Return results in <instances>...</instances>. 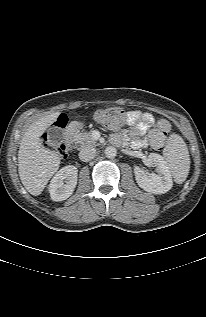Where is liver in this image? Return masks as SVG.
Listing matches in <instances>:
<instances>
[{"instance_id": "liver-1", "label": "liver", "mask_w": 206, "mask_h": 317, "mask_svg": "<svg viewBox=\"0 0 206 317\" xmlns=\"http://www.w3.org/2000/svg\"><path fill=\"white\" fill-rule=\"evenodd\" d=\"M54 112L33 122L23 134L18 151V172L25 189L40 195L60 166L57 152L42 145L40 137L59 117Z\"/></svg>"}]
</instances>
